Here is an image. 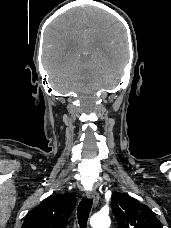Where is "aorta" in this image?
I'll use <instances>...</instances> for the list:
<instances>
[{"label": "aorta", "mask_w": 171, "mask_h": 228, "mask_svg": "<svg viewBox=\"0 0 171 228\" xmlns=\"http://www.w3.org/2000/svg\"><path fill=\"white\" fill-rule=\"evenodd\" d=\"M92 228H109L111 221L107 214L97 213L91 217Z\"/></svg>", "instance_id": "aorta-1"}]
</instances>
